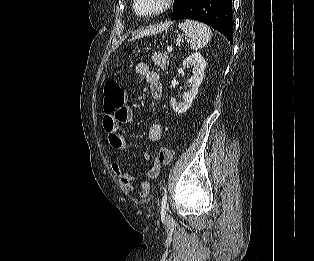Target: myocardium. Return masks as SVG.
Here are the masks:
<instances>
[{
    "label": "myocardium",
    "mask_w": 314,
    "mask_h": 261,
    "mask_svg": "<svg viewBox=\"0 0 314 261\" xmlns=\"http://www.w3.org/2000/svg\"><path fill=\"white\" fill-rule=\"evenodd\" d=\"M173 2L174 0H163L161 6L158 9L149 13H142L137 8V0H132V8L135 14L138 15L139 17L150 18V17H155V16L165 13L167 10L170 9Z\"/></svg>",
    "instance_id": "1"
}]
</instances>
